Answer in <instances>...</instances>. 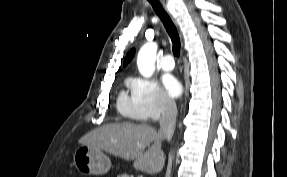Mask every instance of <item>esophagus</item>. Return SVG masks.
<instances>
[{
	"instance_id": "34e87169",
	"label": "esophagus",
	"mask_w": 287,
	"mask_h": 177,
	"mask_svg": "<svg viewBox=\"0 0 287 177\" xmlns=\"http://www.w3.org/2000/svg\"><path fill=\"white\" fill-rule=\"evenodd\" d=\"M159 1H160L161 5L163 6L164 10L168 13V15L171 17V19L176 24V20L174 19V17L172 16L171 12L168 9V6H167L168 0H159Z\"/></svg>"
}]
</instances>
